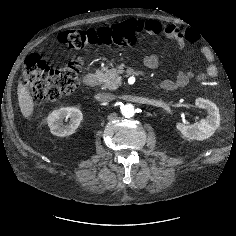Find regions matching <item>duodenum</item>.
Segmentation results:
<instances>
[{"label":"duodenum","mask_w":236,"mask_h":236,"mask_svg":"<svg viewBox=\"0 0 236 236\" xmlns=\"http://www.w3.org/2000/svg\"><path fill=\"white\" fill-rule=\"evenodd\" d=\"M97 80H98L97 74L95 72H92L84 77L83 82L86 86L93 87L97 83Z\"/></svg>","instance_id":"1"}]
</instances>
